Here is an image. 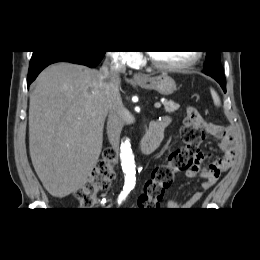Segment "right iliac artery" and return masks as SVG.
Listing matches in <instances>:
<instances>
[{
  "instance_id": "82829eb1",
  "label": "right iliac artery",
  "mask_w": 260,
  "mask_h": 260,
  "mask_svg": "<svg viewBox=\"0 0 260 260\" xmlns=\"http://www.w3.org/2000/svg\"><path fill=\"white\" fill-rule=\"evenodd\" d=\"M129 191H130V188H129V187H124L123 191L121 192V194H120L119 197H118L117 202H118V203L123 202V201L126 199L128 193H129Z\"/></svg>"
}]
</instances>
